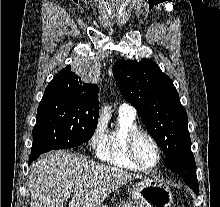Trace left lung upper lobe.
<instances>
[{"label":"left lung upper lobe","mask_w":220,"mask_h":207,"mask_svg":"<svg viewBox=\"0 0 220 207\" xmlns=\"http://www.w3.org/2000/svg\"><path fill=\"white\" fill-rule=\"evenodd\" d=\"M113 75L125 100L131 103L143 124L167 158L191 151L188 118L173 81L152 60H119Z\"/></svg>","instance_id":"5c2ea615"}]
</instances>
